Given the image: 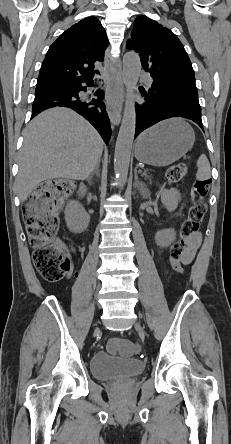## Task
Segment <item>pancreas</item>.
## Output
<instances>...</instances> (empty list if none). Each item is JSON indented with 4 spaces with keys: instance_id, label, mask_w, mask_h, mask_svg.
Wrapping results in <instances>:
<instances>
[{
    "instance_id": "1",
    "label": "pancreas",
    "mask_w": 231,
    "mask_h": 444,
    "mask_svg": "<svg viewBox=\"0 0 231 444\" xmlns=\"http://www.w3.org/2000/svg\"><path fill=\"white\" fill-rule=\"evenodd\" d=\"M142 175H143L145 178H147V179H151L152 171H151V170H148V169H145Z\"/></svg>"
}]
</instances>
